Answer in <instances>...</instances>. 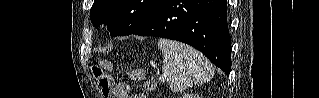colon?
<instances>
[{
	"instance_id": "obj_1",
	"label": "colon",
	"mask_w": 319,
	"mask_h": 98,
	"mask_svg": "<svg viewBox=\"0 0 319 98\" xmlns=\"http://www.w3.org/2000/svg\"><path fill=\"white\" fill-rule=\"evenodd\" d=\"M106 67H109L107 62L104 63ZM92 72L95 79L98 82V85L101 89V92L105 97H110L112 90H111V81L110 78L105 73L104 69L100 66H93ZM144 77V74L141 70H137L131 73V78L134 80H140ZM156 88V81L153 78H150L144 82L143 89L147 92H151Z\"/></svg>"
}]
</instances>
